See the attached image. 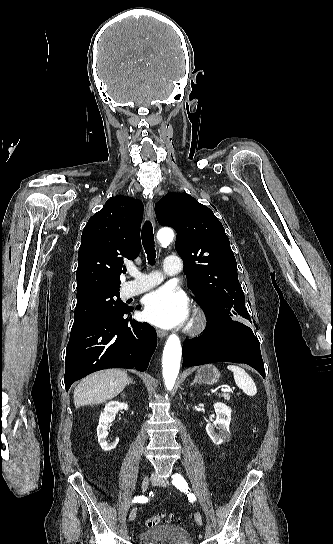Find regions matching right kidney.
Wrapping results in <instances>:
<instances>
[{"label":"right kidney","mask_w":333,"mask_h":544,"mask_svg":"<svg viewBox=\"0 0 333 544\" xmlns=\"http://www.w3.org/2000/svg\"><path fill=\"white\" fill-rule=\"evenodd\" d=\"M119 410H128V404L120 403L118 401H111L105 405L104 411L101 412L99 417V425L97 427V436L98 442L104 451H110L114 449L118 442L119 438L112 443H108L106 438L108 436V424L111 423Z\"/></svg>","instance_id":"right-kidney-1"}]
</instances>
